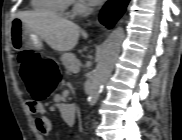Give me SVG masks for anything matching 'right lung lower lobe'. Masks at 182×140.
Wrapping results in <instances>:
<instances>
[{
    "instance_id": "obj_1",
    "label": "right lung lower lobe",
    "mask_w": 182,
    "mask_h": 140,
    "mask_svg": "<svg viewBox=\"0 0 182 140\" xmlns=\"http://www.w3.org/2000/svg\"><path fill=\"white\" fill-rule=\"evenodd\" d=\"M128 2L129 0H109L101 11L100 22L108 28H112L125 12Z\"/></svg>"
}]
</instances>
